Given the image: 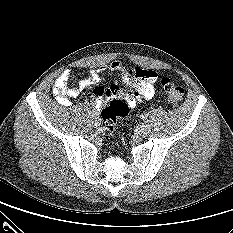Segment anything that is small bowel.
I'll use <instances>...</instances> for the list:
<instances>
[{
	"label": "small bowel",
	"mask_w": 233,
	"mask_h": 233,
	"mask_svg": "<svg viewBox=\"0 0 233 233\" xmlns=\"http://www.w3.org/2000/svg\"><path fill=\"white\" fill-rule=\"evenodd\" d=\"M130 68L132 67L128 66L124 62L114 61L98 70L90 71L89 75L81 79L75 87L68 86L71 71L64 70L55 80L52 92L59 104L68 106L70 105L71 100L79 96L84 89L97 85L101 81L100 74L102 72H119L122 76L123 84H112L108 88L96 86L90 95L88 104L93 106L95 109H99L106 99L122 95L128 103L129 108H133L142 100H148L154 97L156 90V74L154 71L147 70L151 74L149 81L142 82L135 87L133 81L128 75ZM129 88L132 90L133 88L135 89L133 92H129Z\"/></svg>",
	"instance_id": "1"
}]
</instances>
